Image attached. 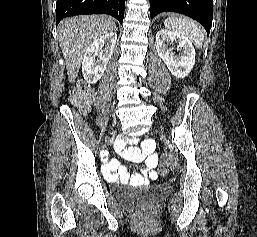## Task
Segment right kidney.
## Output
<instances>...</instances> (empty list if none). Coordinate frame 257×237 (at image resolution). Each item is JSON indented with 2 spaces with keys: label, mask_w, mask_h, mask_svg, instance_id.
I'll use <instances>...</instances> for the list:
<instances>
[{
  "label": "right kidney",
  "mask_w": 257,
  "mask_h": 237,
  "mask_svg": "<svg viewBox=\"0 0 257 237\" xmlns=\"http://www.w3.org/2000/svg\"><path fill=\"white\" fill-rule=\"evenodd\" d=\"M117 34L108 32L93 41L87 48L82 62V73L89 84H94L101 79L108 61L110 60L116 44ZM105 45V49H102ZM95 56L99 57L95 63Z\"/></svg>",
  "instance_id": "ca27d5eb"
}]
</instances>
